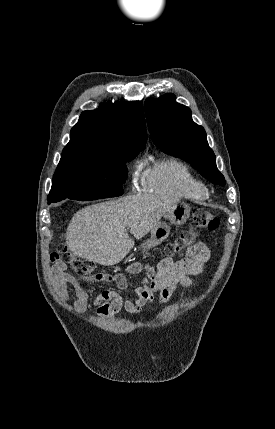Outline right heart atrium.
<instances>
[{
  "instance_id": "1",
  "label": "right heart atrium",
  "mask_w": 275,
  "mask_h": 429,
  "mask_svg": "<svg viewBox=\"0 0 275 429\" xmlns=\"http://www.w3.org/2000/svg\"><path fill=\"white\" fill-rule=\"evenodd\" d=\"M126 167L129 171H133L135 173L136 176V172H137V162L135 159L130 160L126 163Z\"/></svg>"
}]
</instances>
